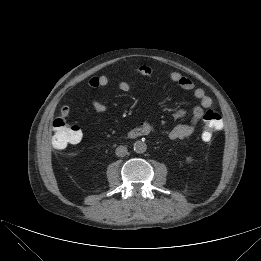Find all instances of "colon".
I'll return each instance as SVG.
<instances>
[{"mask_svg":"<svg viewBox=\"0 0 261 261\" xmlns=\"http://www.w3.org/2000/svg\"><path fill=\"white\" fill-rule=\"evenodd\" d=\"M203 120L202 137L208 141L222 128V117L217 111L210 109L205 113ZM52 129V145L56 149L77 144L82 139V132L79 127L70 125L64 117L56 118L52 123Z\"/></svg>","mask_w":261,"mask_h":261,"instance_id":"colon-1","label":"colon"}]
</instances>
